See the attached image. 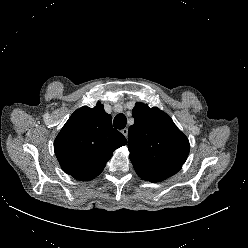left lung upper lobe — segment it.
Instances as JSON below:
<instances>
[{"instance_id":"obj_1","label":"left lung upper lobe","mask_w":248,"mask_h":248,"mask_svg":"<svg viewBox=\"0 0 248 248\" xmlns=\"http://www.w3.org/2000/svg\"><path fill=\"white\" fill-rule=\"evenodd\" d=\"M128 130L130 160L138 176L160 182L177 173L189 154L188 138L157 107L137 102Z\"/></svg>"}]
</instances>
